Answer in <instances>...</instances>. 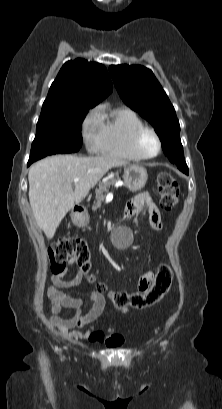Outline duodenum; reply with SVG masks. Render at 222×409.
Wrapping results in <instances>:
<instances>
[{
  "instance_id": "obj_1",
  "label": "duodenum",
  "mask_w": 222,
  "mask_h": 409,
  "mask_svg": "<svg viewBox=\"0 0 222 409\" xmlns=\"http://www.w3.org/2000/svg\"><path fill=\"white\" fill-rule=\"evenodd\" d=\"M73 211H74V217L77 218L82 213V208L80 206H75Z\"/></svg>"
}]
</instances>
